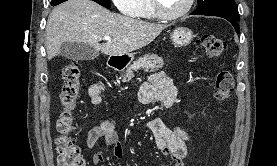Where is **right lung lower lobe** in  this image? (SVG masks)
I'll return each instance as SVG.
<instances>
[{
    "instance_id": "right-lung-lower-lobe-1",
    "label": "right lung lower lobe",
    "mask_w": 277,
    "mask_h": 166,
    "mask_svg": "<svg viewBox=\"0 0 277 166\" xmlns=\"http://www.w3.org/2000/svg\"><path fill=\"white\" fill-rule=\"evenodd\" d=\"M66 1H67V0H66ZM63 2H64V1H63ZM60 3H62V2H60ZM60 3H53L52 6L58 5V4H60Z\"/></svg>"
}]
</instances>
